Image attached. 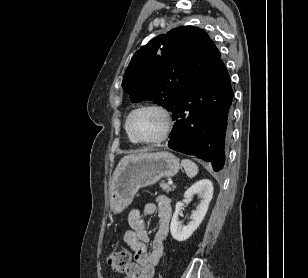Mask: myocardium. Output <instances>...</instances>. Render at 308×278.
<instances>
[{"label": "myocardium", "instance_id": "myocardium-1", "mask_svg": "<svg viewBox=\"0 0 308 278\" xmlns=\"http://www.w3.org/2000/svg\"><path fill=\"white\" fill-rule=\"evenodd\" d=\"M144 109H152V110H156L158 111L164 118V129L162 131V133L154 138V139H142L139 138L138 136H136L131 128V121L133 116L140 110H144ZM173 127V121H172V117L170 112L163 107L162 105L156 104V103H147V104H143L140 105L138 107H136L135 109H133L127 119H126V129L128 134L130 135V137L137 143H141V144H156V143H160L162 141H164L170 134L171 130Z\"/></svg>", "mask_w": 308, "mask_h": 278}]
</instances>
